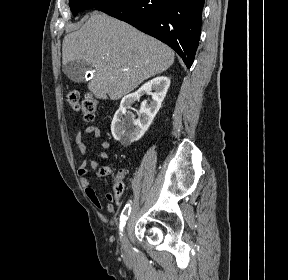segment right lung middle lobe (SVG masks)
I'll return each mask as SVG.
<instances>
[{
    "instance_id": "1",
    "label": "right lung middle lobe",
    "mask_w": 288,
    "mask_h": 280,
    "mask_svg": "<svg viewBox=\"0 0 288 280\" xmlns=\"http://www.w3.org/2000/svg\"><path fill=\"white\" fill-rule=\"evenodd\" d=\"M114 1L115 0H69V6L73 15L76 16L80 11L103 6Z\"/></svg>"
}]
</instances>
